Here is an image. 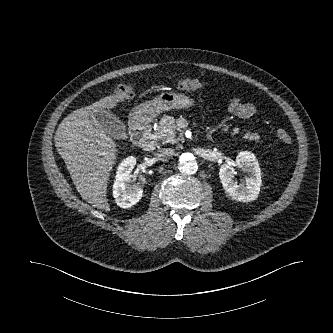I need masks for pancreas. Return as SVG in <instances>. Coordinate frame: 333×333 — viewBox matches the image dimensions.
<instances>
[{
  "mask_svg": "<svg viewBox=\"0 0 333 333\" xmlns=\"http://www.w3.org/2000/svg\"><path fill=\"white\" fill-rule=\"evenodd\" d=\"M176 120L170 116H163L159 121V124L156 126L155 135L157 138L163 140L165 143H175L177 140H180L183 137L182 129L179 128L176 124ZM229 128L228 125H224V131H227ZM239 132L238 128H234L232 135H235ZM178 135V138L176 136ZM243 138L245 140H253L256 143L258 142V135L251 132H247Z\"/></svg>",
  "mask_w": 333,
  "mask_h": 333,
  "instance_id": "cf45deb5",
  "label": "pancreas"
}]
</instances>
